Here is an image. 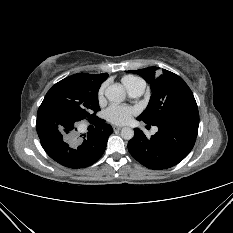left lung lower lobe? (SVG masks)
Segmentation results:
<instances>
[{
    "instance_id": "obj_1",
    "label": "left lung lower lobe",
    "mask_w": 233,
    "mask_h": 233,
    "mask_svg": "<svg viewBox=\"0 0 233 233\" xmlns=\"http://www.w3.org/2000/svg\"><path fill=\"white\" fill-rule=\"evenodd\" d=\"M155 126L158 132L151 138L135 128L128 150L149 169H167L182 161L192 150L198 133L199 113L195 110Z\"/></svg>"
}]
</instances>
